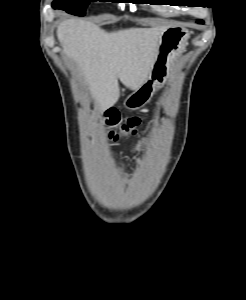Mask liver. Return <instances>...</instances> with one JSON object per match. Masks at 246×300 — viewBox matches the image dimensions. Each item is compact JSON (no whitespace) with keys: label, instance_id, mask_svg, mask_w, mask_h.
Segmentation results:
<instances>
[{"label":"liver","instance_id":"obj_1","mask_svg":"<svg viewBox=\"0 0 246 300\" xmlns=\"http://www.w3.org/2000/svg\"><path fill=\"white\" fill-rule=\"evenodd\" d=\"M166 27L106 32L94 23L67 19L57 27L63 51L78 66L101 111L119 99L118 79L137 90L150 77Z\"/></svg>","mask_w":246,"mask_h":300}]
</instances>
